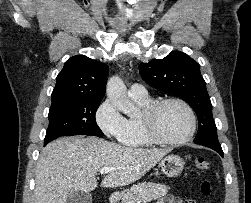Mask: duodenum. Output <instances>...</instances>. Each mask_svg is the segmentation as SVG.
Returning <instances> with one entry per match:
<instances>
[{
	"label": "duodenum",
	"instance_id": "410a0bca",
	"mask_svg": "<svg viewBox=\"0 0 251 203\" xmlns=\"http://www.w3.org/2000/svg\"><path fill=\"white\" fill-rule=\"evenodd\" d=\"M119 197H120L119 193H113L109 198L110 203H116Z\"/></svg>",
	"mask_w": 251,
	"mask_h": 203
}]
</instances>
